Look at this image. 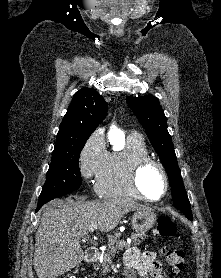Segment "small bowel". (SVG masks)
Instances as JSON below:
<instances>
[{
  "instance_id": "small-bowel-1",
  "label": "small bowel",
  "mask_w": 221,
  "mask_h": 278,
  "mask_svg": "<svg viewBox=\"0 0 221 278\" xmlns=\"http://www.w3.org/2000/svg\"><path fill=\"white\" fill-rule=\"evenodd\" d=\"M125 275L133 278L138 273L144 278H161L162 265L153 251L129 250L125 256Z\"/></svg>"
}]
</instances>
